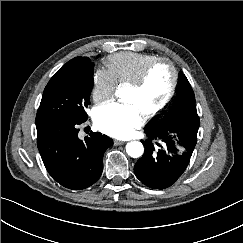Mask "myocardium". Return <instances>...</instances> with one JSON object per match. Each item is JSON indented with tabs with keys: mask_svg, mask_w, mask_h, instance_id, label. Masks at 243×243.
Wrapping results in <instances>:
<instances>
[{
	"mask_svg": "<svg viewBox=\"0 0 243 243\" xmlns=\"http://www.w3.org/2000/svg\"><path fill=\"white\" fill-rule=\"evenodd\" d=\"M160 63H166L169 65V67L172 71V82H171L169 92H168L167 96L165 97V99L156 108H154L151 111L144 114L146 119L153 118L156 115L160 114L172 102V100L176 94L178 82H179V73H178V70H177L175 64L173 63V61H171L168 58L158 57V58L152 60L151 62H149L141 70V72L138 74V76L127 84L128 87H131L134 89L141 88L144 85V83L146 82L147 77L150 74L151 70Z\"/></svg>",
	"mask_w": 243,
	"mask_h": 243,
	"instance_id": "obj_1",
	"label": "myocardium"
}]
</instances>
